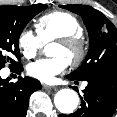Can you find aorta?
<instances>
[{
    "label": "aorta",
    "instance_id": "762f6f07",
    "mask_svg": "<svg viewBox=\"0 0 117 117\" xmlns=\"http://www.w3.org/2000/svg\"><path fill=\"white\" fill-rule=\"evenodd\" d=\"M79 103L78 94L69 88L59 90L54 97L57 110L63 114H71Z\"/></svg>",
    "mask_w": 117,
    "mask_h": 117
}]
</instances>
